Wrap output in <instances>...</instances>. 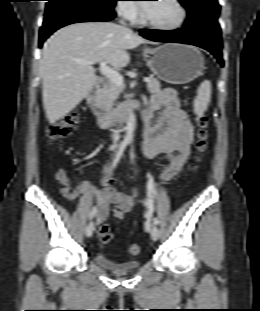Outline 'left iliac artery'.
<instances>
[{"mask_svg": "<svg viewBox=\"0 0 260 311\" xmlns=\"http://www.w3.org/2000/svg\"><path fill=\"white\" fill-rule=\"evenodd\" d=\"M152 185H153V181H152V178L150 177V180H149V188L152 189ZM146 204L148 205L149 209L150 210H153L154 207H153V200L151 198H149L146 202ZM153 222L155 225H158L159 224V220L158 218L154 217L153 218Z\"/></svg>", "mask_w": 260, "mask_h": 311, "instance_id": "44dca946", "label": "left iliac artery"}]
</instances>
